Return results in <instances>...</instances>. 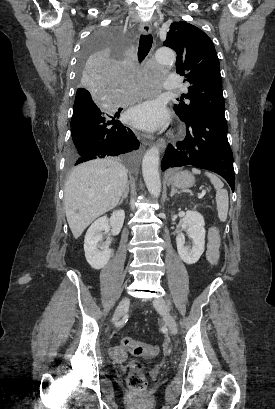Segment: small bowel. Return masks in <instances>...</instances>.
<instances>
[{"label":"small bowel","mask_w":275,"mask_h":409,"mask_svg":"<svg viewBox=\"0 0 275 409\" xmlns=\"http://www.w3.org/2000/svg\"><path fill=\"white\" fill-rule=\"evenodd\" d=\"M220 238L215 228L209 232L206 256L211 264H216L219 258ZM112 357L117 362H125L127 360L126 351L119 347H114L111 351Z\"/></svg>","instance_id":"obj_1"}]
</instances>
